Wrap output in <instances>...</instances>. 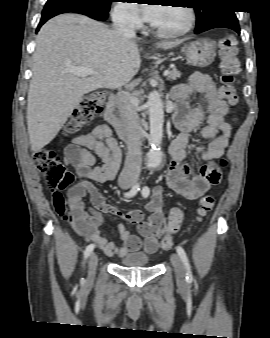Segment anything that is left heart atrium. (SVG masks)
I'll use <instances>...</instances> for the list:
<instances>
[{"label": "left heart atrium", "instance_id": "left-heart-atrium-1", "mask_svg": "<svg viewBox=\"0 0 270 338\" xmlns=\"http://www.w3.org/2000/svg\"><path fill=\"white\" fill-rule=\"evenodd\" d=\"M137 7L141 8V12H142L144 19L151 23L157 19L160 9H161L158 5L141 6L137 4Z\"/></svg>", "mask_w": 270, "mask_h": 338}]
</instances>
